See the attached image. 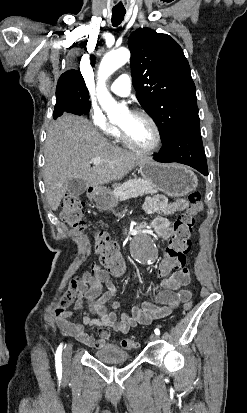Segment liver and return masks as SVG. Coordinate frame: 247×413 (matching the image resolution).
I'll return each mask as SVG.
<instances>
[{"instance_id": "1", "label": "liver", "mask_w": 247, "mask_h": 413, "mask_svg": "<svg viewBox=\"0 0 247 413\" xmlns=\"http://www.w3.org/2000/svg\"><path fill=\"white\" fill-rule=\"evenodd\" d=\"M43 178L52 211H57L71 178H83L98 188L120 180L146 156L114 146L84 116L63 114L47 130ZM91 158H101L91 166Z\"/></svg>"}]
</instances>
